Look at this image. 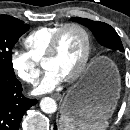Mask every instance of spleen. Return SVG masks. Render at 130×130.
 I'll list each match as a JSON object with an SVG mask.
<instances>
[{
  "label": "spleen",
  "instance_id": "1",
  "mask_svg": "<svg viewBox=\"0 0 130 130\" xmlns=\"http://www.w3.org/2000/svg\"><path fill=\"white\" fill-rule=\"evenodd\" d=\"M59 124L60 130H105L108 127L109 122L106 120L96 122L94 124H87L84 122L75 121L63 114L60 117Z\"/></svg>",
  "mask_w": 130,
  "mask_h": 130
}]
</instances>
